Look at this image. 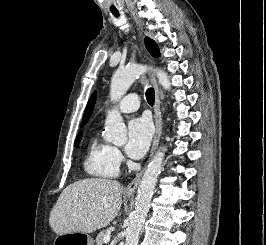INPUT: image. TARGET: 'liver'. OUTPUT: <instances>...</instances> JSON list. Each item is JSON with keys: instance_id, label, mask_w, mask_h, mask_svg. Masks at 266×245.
<instances>
[{"instance_id": "6515ba94", "label": "liver", "mask_w": 266, "mask_h": 245, "mask_svg": "<svg viewBox=\"0 0 266 245\" xmlns=\"http://www.w3.org/2000/svg\"><path fill=\"white\" fill-rule=\"evenodd\" d=\"M123 189L111 179H84L68 185L54 205L49 225L56 235L94 233L108 227L122 205Z\"/></svg>"}]
</instances>
